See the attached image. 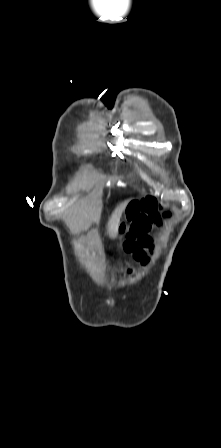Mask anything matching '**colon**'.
Masks as SVG:
<instances>
[{"label":"colon","instance_id":"5ec220e1","mask_svg":"<svg viewBox=\"0 0 221 448\" xmlns=\"http://www.w3.org/2000/svg\"><path fill=\"white\" fill-rule=\"evenodd\" d=\"M143 205H144V209L147 211V213L149 214L152 221L158 224L159 223V216H158L159 212L157 209V203L152 198H147ZM135 214H136V209H131L130 213H129V218H134L135 224L139 228L145 229L147 227V222L142 218H136ZM124 227H125V225H123L121 229H123ZM142 241L144 243H147V242H149V239L147 237L143 236ZM146 248L147 247L140 249L135 256L138 259H145L147 256V253L145 251Z\"/></svg>","mask_w":221,"mask_h":448}]
</instances>
